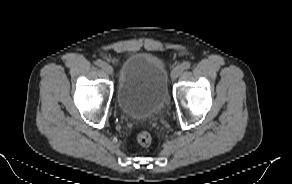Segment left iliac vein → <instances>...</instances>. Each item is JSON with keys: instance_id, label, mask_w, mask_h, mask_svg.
Masks as SVG:
<instances>
[{"instance_id": "obj_1", "label": "left iliac vein", "mask_w": 292, "mask_h": 184, "mask_svg": "<svg viewBox=\"0 0 292 184\" xmlns=\"http://www.w3.org/2000/svg\"><path fill=\"white\" fill-rule=\"evenodd\" d=\"M182 71H183V69L181 66L175 67L171 72V79L175 80L176 78H178L180 76V74L182 73Z\"/></svg>"}]
</instances>
